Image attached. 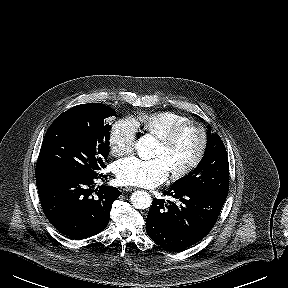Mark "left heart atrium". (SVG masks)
Returning a JSON list of instances; mask_svg holds the SVG:
<instances>
[{"instance_id": "left-heart-atrium-1", "label": "left heart atrium", "mask_w": 288, "mask_h": 288, "mask_svg": "<svg viewBox=\"0 0 288 288\" xmlns=\"http://www.w3.org/2000/svg\"><path fill=\"white\" fill-rule=\"evenodd\" d=\"M169 169L161 157L140 159L127 157L115 165L118 181L123 185L154 187L163 183L169 176Z\"/></svg>"}]
</instances>
